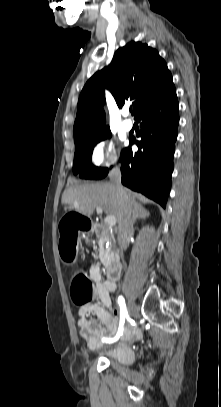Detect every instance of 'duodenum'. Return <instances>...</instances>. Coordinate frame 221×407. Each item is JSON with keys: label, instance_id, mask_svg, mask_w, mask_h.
Returning a JSON list of instances; mask_svg holds the SVG:
<instances>
[{"label": "duodenum", "instance_id": "obj_1", "mask_svg": "<svg viewBox=\"0 0 221 407\" xmlns=\"http://www.w3.org/2000/svg\"><path fill=\"white\" fill-rule=\"evenodd\" d=\"M122 265L119 262H114L107 269L108 279L117 281L120 278Z\"/></svg>", "mask_w": 221, "mask_h": 407}]
</instances>
